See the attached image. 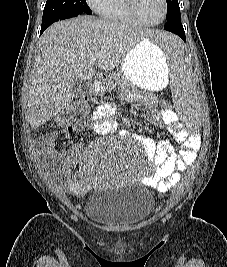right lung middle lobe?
I'll use <instances>...</instances> for the list:
<instances>
[{
	"mask_svg": "<svg viewBox=\"0 0 227 267\" xmlns=\"http://www.w3.org/2000/svg\"><path fill=\"white\" fill-rule=\"evenodd\" d=\"M80 14H92L86 0H47L43 20L66 19Z\"/></svg>",
	"mask_w": 227,
	"mask_h": 267,
	"instance_id": "1",
	"label": "right lung middle lobe"
}]
</instances>
